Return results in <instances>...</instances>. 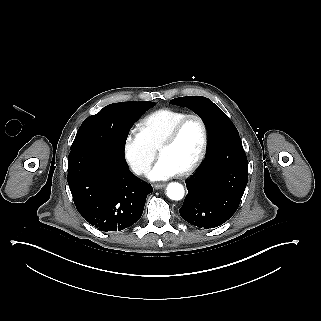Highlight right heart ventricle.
Here are the masks:
<instances>
[{
	"label": "right heart ventricle",
	"instance_id": "obj_1",
	"mask_svg": "<svg viewBox=\"0 0 321 321\" xmlns=\"http://www.w3.org/2000/svg\"><path fill=\"white\" fill-rule=\"evenodd\" d=\"M189 115L188 112L172 108H160L140 121V129L150 143L159 141L170 128L181 118Z\"/></svg>",
	"mask_w": 321,
	"mask_h": 321
}]
</instances>
